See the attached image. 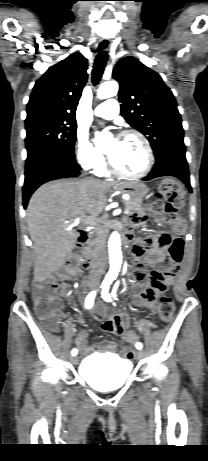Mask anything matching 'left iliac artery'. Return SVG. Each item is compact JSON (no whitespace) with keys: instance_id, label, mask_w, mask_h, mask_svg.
Masks as SVG:
<instances>
[{"instance_id":"1","label":"left iliac artery","mask_w":208,"mask_h":461,"mask_svg":"<svg viewBox=\"0 0 208 461\" xmlns=\"http://www.w3.org/2000/svg\"><path fill=\"white\" fill-rule=\"evenodd\" d=\"M108 287L107 286H104L103 287V291H102V298L107 301V302H110L111 301V297H110V294L108 293ZM142 343L138 342L136 344V348L137 349H142Z\"/></svg>"}]
</instances>
